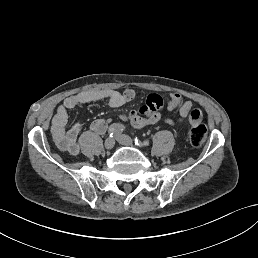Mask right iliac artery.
Instances as JSON below:
<instances>
[{"instance_id":"right-iliac-artery-1","label":"right iliac artery","mask_w":258,"mask_h":258,"mask_svg":"<svg viewBox=\"0 0 258 258\" xmlns=\"http://www.w3.org/2000/svg\"><path fill=\"white\" fill-rule=\"evenodd\" d=\"M124 130H125L124 125L115 123L109 127L108 134L110 137H116L120 135Z\"/></svg>"}]
</instances>
